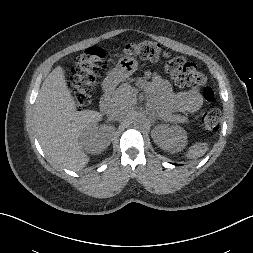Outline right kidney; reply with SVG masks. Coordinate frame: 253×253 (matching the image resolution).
<instances>
[{"mask_svg":"<svg viewBox=\"0 0 253 253\" xmlns=\"http://www.w3.org/2000/svg\"><path fill=\"white\" fill-rule=\"evenodd\" d=\"M113 133V127L92 124L80 134V144L87 153L100 154L110 145Z\"/></svg>","mask_w":253,"mask_h":253,"instance_id":"ca27d5eb","label":"right kidney"}]
</instances>
